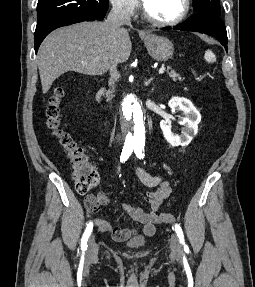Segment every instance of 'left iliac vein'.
Instances as JSON below:
<instances>
[{
    "mask_svg": "<svg viewBox=\"0 0 255 287\" xmlns=\"http://www.w3.org/2000/svg\"><path fill=\"white\" fill-rule=\"evenodd\" d=\"M170 248H171L172 254L174 256H180V254H181V245H180V242H179V239H178L177 235L174 234V233L171 236Z\"/></svg>",
    "mask_w": 255,
    "mask_h": 287,
    "instance_id": "1",
    "label": "left iliac vein"
}]
</instances>
